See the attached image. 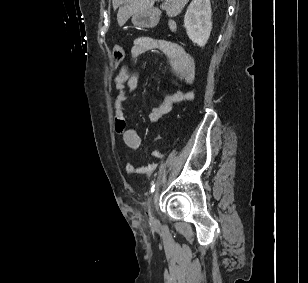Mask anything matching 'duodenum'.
I'll return each instance as SVG.
<instances>
[{"label": "duodenum", "mask_w": 308, "mask_h": 283, "mask_svg": "<svg viewBox=\"0 0 308 283\" xmlns=\"http://www.w3.org/2000/svg\"><path fill=\"white\" fill-rule=\"evenodd\" d=\"M157 22H158V14L154 11L149 12L148 15L145 17V19L143 20V23L147 26H154L157 24ZM169 26L171 30H175L176 28L174 22H170Z\"/></svg>", "instance_id": "duodenum-1"}]
</instances>
